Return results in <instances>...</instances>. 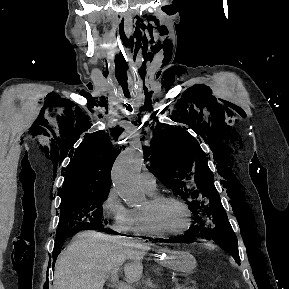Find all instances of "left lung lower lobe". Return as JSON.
I'll return each mask as SVG.
<instances>
[{"label":"left lung lower lobe","instance_id":"left-lung-lower-lobe-1","mask_svg":"<svg viewBox=\"0 0 289 289\" xmlns=\"http://www.w3.org/2000/svg\"><path fill=\"white\" fill-rule=\"evenodd\" d=\"M196 237H204V238L213 239L212 234L209 232L191 231V232H187V234H185L184 236L174 238V239H169V240H167V242H169V243H190V242H193L194 238H196Z\"/></svg>","mask_w":289,"mask_h":289}]
</instances>
